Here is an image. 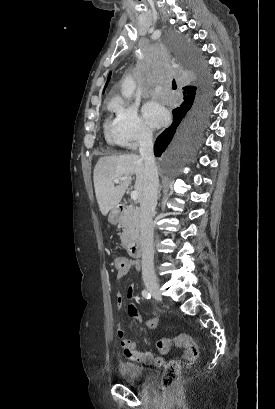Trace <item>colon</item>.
<instances>
[{
	"mask_svg": "<svg viewBox=\"0 0 275 409\" xmlns=\"http://www.w3.org/2000/svg\"><path fill=\"white\" fill-rule=\"evenodd\" d=\"M114 263L120 274L125 272L127 264L123 256H116ZM157 346L161 353H168L170 349L177 347L184 349V359L187 361H195L199 356L197 343L186 333L181 332L175 337L159 340ZM180 362L177 360L169 361L164 367V373L161 379L163 387H170L174 385L180 377Z\"/></svg>",
	"mask_w": 275,
	"mask_h": 409,
	"instance_id": "obj_1",
	"label": "colon"
}]
</instances>
